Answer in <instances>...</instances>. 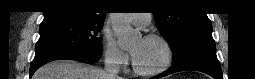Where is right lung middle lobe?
<instances>
[{
    "label": "right lung middle lobe",
    "mask_w": 255,
    "mask_h": 79,
    "mask_svg": "<svg viewBox=\"0 0 255 79\" xmlns=\"http://www.w3.org/2000/svg\"><path fill=\"white\" fill-rule=\"evenodd\" d=\"M103 24L73 20H49L40 25V38L35 52L64 50L94 55L102 54L101 37L97 32Z\"/></svg>",
    "instance_id": "dd1d6c3e"
}]
</instances>
